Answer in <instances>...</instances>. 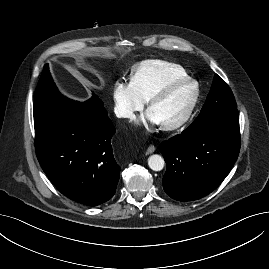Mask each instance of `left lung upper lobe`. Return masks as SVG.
<instances>
[{"instance_id": "5c2ea615", "label": "left lung upper lobe", "mask_w": 269, "mask_h": 269, "mask_svg": "<svg viewBox=\"0 0 269 269\" xmlns=\"http://www.w3.org/2000/svg\"><path fill=\"white\" fill-rule=\"evenodd\" d=\"M237 109L236 101L229 86L216 74L204 106L199 115L216 114Z\"/></svg>"}]
</instances>
